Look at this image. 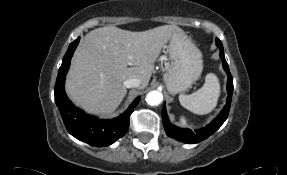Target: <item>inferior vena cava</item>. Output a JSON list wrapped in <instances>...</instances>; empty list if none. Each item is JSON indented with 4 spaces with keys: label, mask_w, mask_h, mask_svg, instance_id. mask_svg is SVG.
I'll list each match as a JSON object with an SVG mask.
<instances>
[{
    "label": "inferior vena cava",
    "mask_w": 287,
    "mask_h": 175,
    "mask_svg": "<svg viewBox=\"0 0 287 175\" xmlns=\"http://www.w3.org/2000/svg\"><path fill=\"white\" fill-rule=\"evenodd\" d=\"M140 80L137 78H129L124 81V86L126 88H137L140 87Z\"/></svg>",
    "instance_id": "inferior-vena-cava-1"
}]
</instances>
